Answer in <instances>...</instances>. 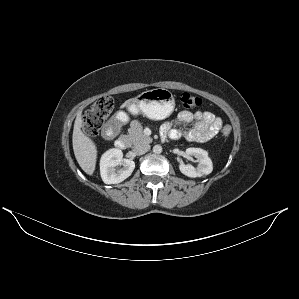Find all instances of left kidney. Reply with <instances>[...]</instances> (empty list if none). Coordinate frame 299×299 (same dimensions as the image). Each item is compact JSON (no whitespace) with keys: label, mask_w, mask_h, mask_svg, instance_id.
<instances>
[{"label":"left kidney","mask_w":299,"mask_h":299,"mask_svg":"<svg viewBox=\"0 0 299 299\" xmlns=\"http://www.w3.org/2000/svg\"><path fill=\"white\" fill-rule=\"evenodd\" d=\"M186 154L197 158L198 166L195 168L192 165L181 163L179 169L184 175L196 178L203 175H208L213 170V164L208 156V153L201 148H187Z\"/></svg>","instance_id":"obj_1"}]
</instances>
